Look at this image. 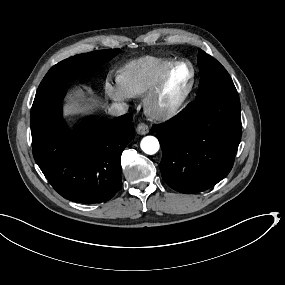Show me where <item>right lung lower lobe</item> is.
<instances>
[{"instance_id":"obj_1","label":"right lung lower lobe","mask_w":285,"mask_h":285,"mask_svg":"<svg viewBox=\"0 0 285 285\" xmlns=\"http://www.w3.org/2000/svg\"><path fill=\"white\" fill-rule=\"evenodd\" d=\"M64 83L36 95L31 109L33 156L52 187L78 203L110 200L122 186L121 154L134 138L132 116L90 118L78 133L62 120Z\"/></svg>"}]
</instances>
